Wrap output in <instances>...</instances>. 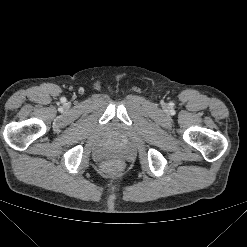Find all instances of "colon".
<instances>
[{"label":"colon","mask_w":247,"mask_h":247,"mask_svg":"<svg viewBox=\"0 0 247 247\" xmlns=\"http://www.w3.org/2000/svg\"><path fill=\"white\" fill-rule=\"evenodd\" d=\"M120 168V163L117 161H109L105 164V169L108 171H117Z\"/></svg>","instance_id":"obj_1"}]
</instances>
